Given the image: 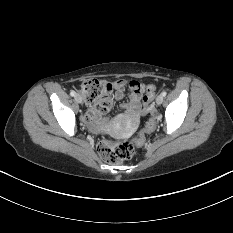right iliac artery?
<instances>
[{
	"label": "right iliac artery",
	"mask_w": 233,
	"mask_h": 233,
	"mask_svg": "<svg viewBox=\"0 0 233 233\" xmlns=\"http://www.w3.org/2000/svg\"><path fill=\"white\" fill-rule=\"evenodd\" d=\"M75 94H76V93H75L74 91H71V92H70V95H71L72 97H74Z\"/></svg>",
	"instance_id": "82829eb1"
}]
</instances>
